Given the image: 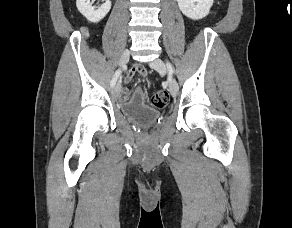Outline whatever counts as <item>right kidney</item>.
Returning a JSON list of instances; mask_svg holds the SVG:
<instances>
[{
    "mask_svg": "<svg viewBox=\"0 0 292 228\" xmlns=\"http://www.w3.org/2000/svg\"><path fill=\"white\" fill-rule=\"evenodd\" d=\"M79 12L90 22L98 23L111 9V1L106 0L100 7L92 6L90 0H76Z\"/></svg>",
    "mask_w": 292,
    "mask_h": 228,
    "instance_id": "right-kidney-1",
    "label": "right kidney"
}]
</instances>
